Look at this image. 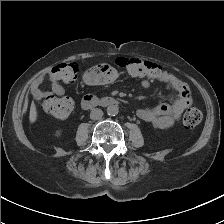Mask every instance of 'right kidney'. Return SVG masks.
Listing matches in <instances>:
<instances>
[{"label": "right kidney", "mask_w": 224, "mask_h": 224, "mask_svg": "<svg viewBox=\"0 0 224 224\" xmlns=\"http://www.w3.org/2000/svg\"><path fill=\"white\" fill-rule=\"evenodd\" d=\"M60 135H61V131H59V130H58V131H56L55 136H56V137H59Z\"/></svg>", "instance_id": "right-kidney-1"}]
</instances>
